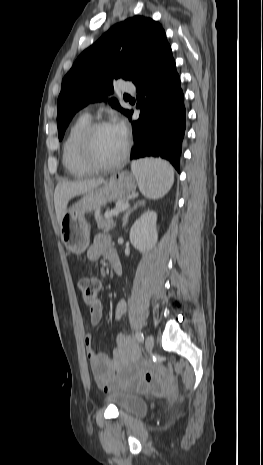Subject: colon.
<instances>
[{
	"label": "colon",
	"mask_w": 263,
	"mask_h": 465,
	"mask_svg": "<svg viewBox=\"0 0 263 465\" xmlns=\"http://www.w3.org/2000/svg\"><path fill=\"white\" fill-rule=\"evenodd\" d=\"M78 288L83 301L88 305H92L97 299L100 290V282L93 277L82 278L78 282ZM167 390L168 387H166L162 392Z\"/></svg>",
	"instance_id": "obj_1"
}]
</instances>
